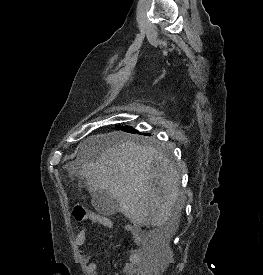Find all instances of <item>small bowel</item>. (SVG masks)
<instances>
[{
    "mask_svg": "<svg viewBox=\"0 0 263 275\" xmlns=\"http://www.w3.org/2000/svg\"><path fill=\"white\" fill-rule=\"evenodd\" d=\"M98 221H95L102 225H109V221L103 217L97 216ZM87 228L81 229L75 237V244L77 247L84 245L87 238ZM134 240L138 245V248L133 249L129 253V263L126 264L124 269L125 275H150L149 274V257L147 255L148 248L144 243L142 237L137 233L133 232ZM85 260V273L87 275H97V265L93 262H87Z\"/></svg>",
    "mask_w": 263,
    "mask_h": 275,
    "instance_id": "c3829d8e",
    "label": "small bowel"
}]
</instances>
